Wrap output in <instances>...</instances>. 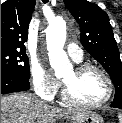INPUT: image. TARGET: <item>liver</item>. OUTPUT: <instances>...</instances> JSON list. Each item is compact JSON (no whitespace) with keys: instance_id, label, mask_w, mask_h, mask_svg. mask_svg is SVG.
<instances>
[{"instance_id":"1","label":"liver","mask_w":122,"mask_h":123,"mask_svg":"<svg viewBox=\"0 0 122 123\" xmlns=\"http://www.w3.org/2000/svg\"><path fill=\"white\" fill-rule=\"evenodd\" d=\"M85 112L50 106L28 92L1 96V123H55L56 118L72 122Z\"/></svg>"}]
</instances>
